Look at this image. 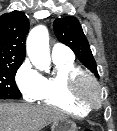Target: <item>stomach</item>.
Segmentation results:
<instances>
[{"instance_id": "0dacf381", "label": "stomach", "mask_w": 117, "mask_h": 131, "mask_svg": "<svg viewBox=\"0 0 117 131\" xmlns=\"http://www.w3.org/2000/svg\"><path fill=\"white\" fill-rule=\"evenodd\" d=\"M51 131H77V126L73 121L63 118L52 123Z\"/></svg>"}]
</instances>
